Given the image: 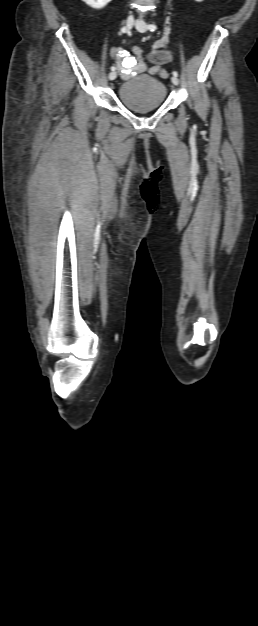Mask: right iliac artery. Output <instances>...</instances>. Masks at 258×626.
Instances as JSON below:
<instances>
[{"label":"right iliac artery","mask_w":258,"mask_h":626,"mask_svg":"<svg viewBox=\"0 0 258 626\" xmlns=\"http://www.w3.org/2000/svg\"><path fill=\"white\" fill-rule=\"evenodd\" d=\"M121 32H122V33H127V32H128V29H127L126 27H123V28L121 29ZM111 70H112V71H114V70H115V67H114V66H112V67H111Z\"/></svg>","instance_id":"82829eb1"}]
</instances>
